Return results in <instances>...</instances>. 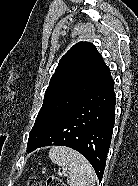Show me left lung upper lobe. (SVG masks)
Returning a JSON list of instances; mask_svg holds the SVG:
<instances>
[{"mask_svg":"<svg viewBox=\"0 0 138 186\" xmlns=\"http://www.w3.org/2000/svg\"><path fill=\"white\" fill-rule=\"evenodd\" d=\"M109 75V68L92 43H76L68 50L59 61L45 91L42 108L29 134L28 146L92 93Z\"/></svg>","mask_w":138,"mask_h":186,"instance_id":"obj_1","label":"left lung upper lobe"}]
</instances>
